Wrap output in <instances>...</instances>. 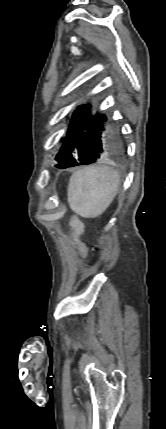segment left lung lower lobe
<instances>
[{"label":"left lung lower lobe","instance_id":"0a47b994","mask_svg":"<svg viewBox=\"0 0 166 429\" xmlns=\"http://www.w3.org/2000/svg\"><path fill=\"white\" fill-rule=\"evenodd\" d=\"M87 106H78L72 114L63 145L55 157V167L59 169L94 163L109 145V140H103L106 117L98 113L92 115Z\"/></svg>","mask_w":166,"mask_h":429}]
</instances>
